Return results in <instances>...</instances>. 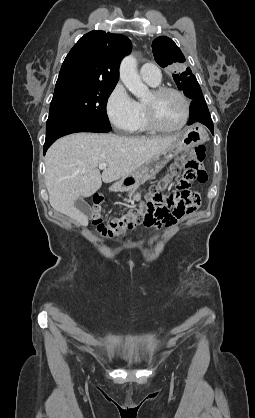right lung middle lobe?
Returning a JSON list of instances; mask_svg holds the SVG:
<instances>
[{"label":"right lung middle lobe","mask_w":255,"mask_h":418,"mask_svg":"<svg viewBox=\"0 0 255 418\" xmlns=\"http://www.w3.org/2000/svg\"><path fill=\"white\" fill-rule=\"evenodd\" d=\"M114 87L84 82L56 84L49 118L76 117L111 128L106 104Z\"/></svg>","instance_id":"dd1d6c3e"}]
</instances>
